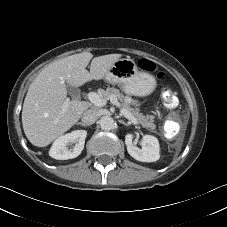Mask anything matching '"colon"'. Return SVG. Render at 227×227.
Listing matches in <instances>:
<instances>
[{"label": "colon", "mask_w": 227, "mask_h": 227, "mask_svg": "<svg viewBox=\"0 0 227 227\" xmlns=\"http://www.w3.org/2000/svg\"><path fill=\"white\" fill-rule=\"evenodd\" d=\"M139 67L147 72H152L155 70V65L153 62L147 59H141L139 61ZM159 76L161 77L162 74L160 73ZM161 99L170 106H176L178 104V98L175 93L168 87H164L160 91Z\"/></svg>", "instance_id": "1"}]
</instances>
